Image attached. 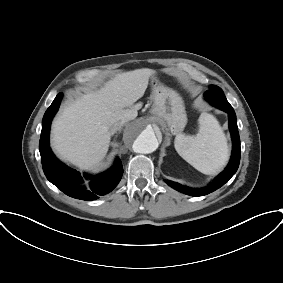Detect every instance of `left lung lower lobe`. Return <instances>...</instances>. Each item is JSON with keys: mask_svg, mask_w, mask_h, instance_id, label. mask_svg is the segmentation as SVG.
<instances>
[{"mask_svg": "<svg viewBox=\"0 0 283 283\" xmlns=\"http://www.w3.org/2000/svg\"><path fill=\"white\" fill-rule=\"evenodd\" d=\"M205 97L213 106L228 113L229 129L231 132L233 148H232L231 159L228 166L225 168V170L222 173H220L211 182L209 186L205 188H190L187 186H183L179 183L166 180V183L175 190L182 192L186 195L195 196V197L207 195L219 189L221 186H223L236 173L240 163V137L238 133L236 114L234 109L229 104L227 99L224 100L212 99L209 98L206 94Z\"/></svg>", "mask_w": 283, "mask_h": 283, "instance_id": "0a47b994", "label": "left lung lower lobe"}]
</instances>
